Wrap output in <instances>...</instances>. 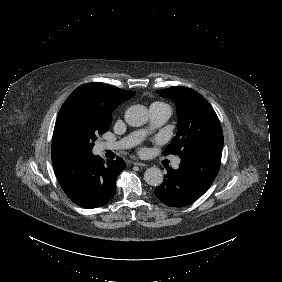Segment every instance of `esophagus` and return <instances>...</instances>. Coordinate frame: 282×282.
Listing matches in <instances>:
<instances>
[{
  "mask_svg": "<svg viewBox=\"0 0 282 282\" xmlns=\"http://www.w3.org/2000/svg\"><path fill=\"white\" fill-rule=\"evenodd\" d=\"M134 165L139 166V167H146L147 165L141 162H133Z\"/></svg>",
  "mask_w": 282,
  "mask_h": 282,
  "instance_id": "34e87169",
  "label": "esophagus"
}]
</instances>
